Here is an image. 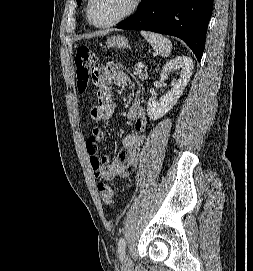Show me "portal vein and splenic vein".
Here are the masks:
<instances>
[{
  "label": "portal vein and splenic vein",
  "instance_id": "portal-vein-and-splenic-vein-1",
  "mask_svg": "<svg viewBox=\"0 0 253 271\" xmlns=\"http://www.w3.org/2000/svg\"><path fill=\"white\" fill-rule=\"evenodd\" d=\"M137 66H138L139 68H143V67H144V64L139 62V63L137 64Z\"/></svg>",
  "mask_w": 253,
  "mask_h": 271
}]
</instances>
